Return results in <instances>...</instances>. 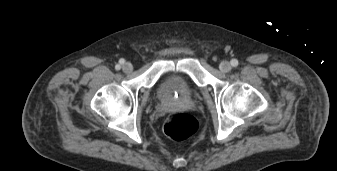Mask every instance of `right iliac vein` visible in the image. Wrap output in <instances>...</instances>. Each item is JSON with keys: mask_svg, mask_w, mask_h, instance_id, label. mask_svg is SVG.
Listing matches in <instances>:
<instances>
[{"mask_svg": "<svg viewBox=\"0 0 337 171\" xmlns=\"http://www.w3.org/2000/svg\"><path fill=\"white\" fill-rule=\"evenodd\" d=\"M122 69H123V71H124L125 73H129V72L132 71L133 66H132L131 63L126 62V63H124V64L122 65Z\"/></svg>", "mask_w": 337, "mask_h": 171, "instance_id": "obj_1", "label": "right iliac vein"}]
</instances>
